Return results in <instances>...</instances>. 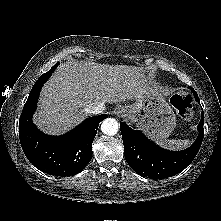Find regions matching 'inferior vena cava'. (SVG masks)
<instances>
[{"label":"inferior vena cava","mask_w":221,"mask_h":221,"mask_svg":"<svg viewBox=\"0 0 221 221\" xmlns=\"http://www.w3.org/2000/svg\"><path fill=\"white\" fill-rule=\"evenodd\" d=\"M85 110L87 113L100 114L105 110V106L100 103H95L93 105L88 106Z\"/></svg>","instance_id":"602c4592"}]
</instances>
